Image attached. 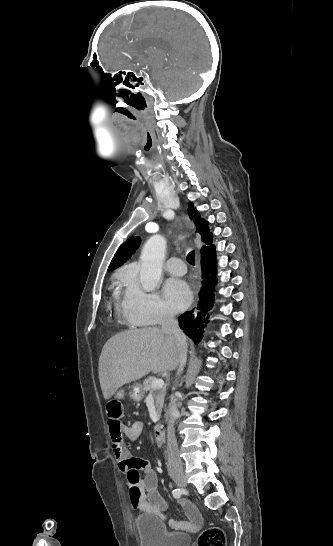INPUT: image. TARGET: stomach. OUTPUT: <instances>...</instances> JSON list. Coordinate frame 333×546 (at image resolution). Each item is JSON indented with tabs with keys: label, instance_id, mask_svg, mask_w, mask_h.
<instances>
[{
	"label": "stomach",
	"instance_id": "0dacf381",
	"mask_svg": "<svg viewBox=\"0 0 333 546\" xmlns=\"http://www.w3.org/2000/svg\"><path fill=\"white\" fill-rule=\"evenodd\" d=\"M130 398L134 401H141L144 397V391L140 384H134L129 390Z\"/></svg>",
	"mask_w": 333,
	"mask_h": 546
}]
</instances>
